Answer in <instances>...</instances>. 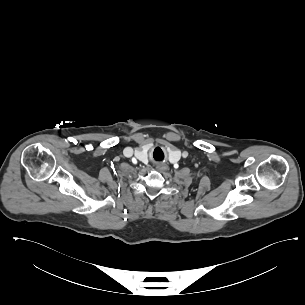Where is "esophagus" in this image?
Here are the masks:
<instances>
[{"label": "esophagus", "instance_id": "34e87169", "mask_svg": "<svg viewBox=\"0 0 305 305\" xmlns=\"http://www.w3.org/2000/svg\"><path fill=\"white\" fill-rule=\"evenodd\" d=\"M156 169H157V170H162V169L167 170V169H168V166H167V164L160 163V164H157V165H156Z\"/></svg>", "mask_w": 305, "mask_h": 305}]
</instances>
